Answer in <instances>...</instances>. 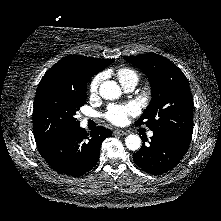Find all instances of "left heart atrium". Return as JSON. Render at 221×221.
<instances>
[{
	"label": "left heart atrium",
	"mask_w": 221,
	"mask_h": 221,
	"mask_svg": "<svg viewBox=\"0 0 221 221\" xmlns=\"http://www.w3.org/2000/svg\"><path fill=\"white\" fill-rule=\"evenodd\" d=\"M137 113L138 108L134 103L110 105L105 113V118L115 125H122L130 116H134Z\"/></svg>",
	"instance_id": "left-heart-atrium-1"
}]
</instances>
